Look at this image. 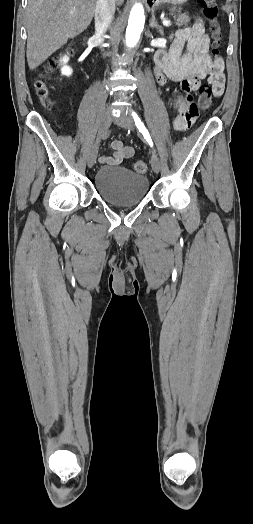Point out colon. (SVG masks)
Masks as SVG:
<instances>
[{"mask_svg": "<svg viewBox=\"0 0 253 524\" xmlns=\"http://www.w3.org/2000/svg\"><path fill=\"white\" fill-rule=\"evenodd\" d=\"M201 5V11L205 19L209 23L210 33L212 37V54L217 55L221 47V38L222 32L218 20V7L215 0H199ZM73 53L72 48H68L64 52L60 53L59 56L50 60L48 66L45 69V72H49L51 68L55 67L60 58L65 55H71ZM34 87L37 95L39 96L43 105L47 106L50 103L49 93L50 89L45 81L41 78L37 79L34 83ZM196 99L200 108H206L210 105L213 97V91L210 87L203 86L200 87L198 93L195 94ZM136 172L145 173L147 170V165L143 161H137L134 165Z\"/></svg>", "mask_w": 253, "mask_h": 524, "instance_id": "5ec220e1", "label": "colon"}]
</instances>
